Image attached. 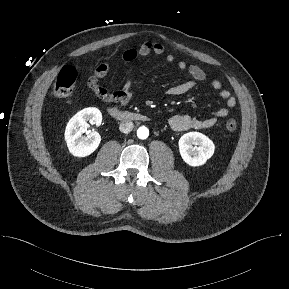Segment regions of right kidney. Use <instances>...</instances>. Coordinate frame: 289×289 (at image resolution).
Here are the masks:
<instances>
[{"mask_svg":"<svg viewBox=\"0 0 289 289\" xmlns=\"http://www.w3.org/2000/svg\"><path fill=\"white\" fill-rule=\"evenodd\" d=\"M100 125L102 114L94 107L85 108L76 113L67 123L65 141L70 153L75 157H86L92 154L101 142V136L96 131H87L88 123ZM86 133L87 136H84Z\"/></svg>","mask_w":289,"mask_h":289,"instance_id":"right-kidney-1","label":"right kidney"}]
</instances>
